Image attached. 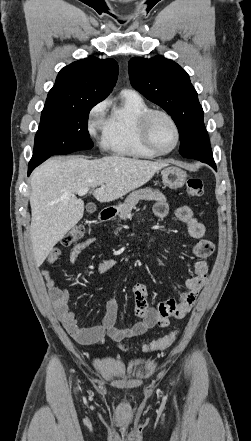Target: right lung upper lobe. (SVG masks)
<instances>
[{
    "mask_svg": "<svg viewBox=\"0 0 251 441\" xmlns=\"http://www.w3.org/2000/svg\"><path fill=\"white\" fill-rule=\"evenodd\" d=\"M118 76V64L113 59L90 56L73 62L59 72L46 104H74L90 97L105 99Z\"/></svg>",
    "mask_w": 251,
    "mask_h": 441,
    "instance_id": "right-lung-upper-lobe-1",
    "label": "right lung upper lobe"
}]
</instances>
